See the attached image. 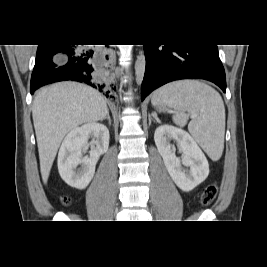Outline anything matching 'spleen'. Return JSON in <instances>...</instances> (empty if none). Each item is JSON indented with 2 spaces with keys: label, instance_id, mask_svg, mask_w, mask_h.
Segmentation results:
<instances>
[{
  "label": "spleen",
  "instance_id": "3e777b00",
  "mask_svg": "<svg viewBox=\"0 0 267 267\" xmlns=\"http://www.w3.org/2000/svg\"><path fill=\"white\" fill-rule=\"evenodd\" d=\"M152 104H165L176 110L173 121L179 126L187 124L188 115L194 118L188 130L206 154L213 160L221 158L224 149L225 107L220 94L198 80H181L158 89Z\"/></svg>",
  "mask_w": 267,
  "mask_h": 267
}]
</instances>
